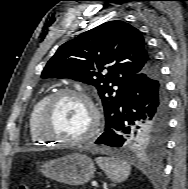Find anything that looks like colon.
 <instances>
[{
  "mask_svg": "<svg viewBox=\"0 0 188 189\" xmlns=\"http://www.w3.org/2000/svg\"><path fill=\"white\" fill-rule=\"evenodd\" d=\"M18 189H30V185L28 183H22Z\"/></svg>",
  "mask_w": 188,
  "mask_h": 189,
  "instance_id": "obj_1",
  "label": "colon"
}]
</instances>
